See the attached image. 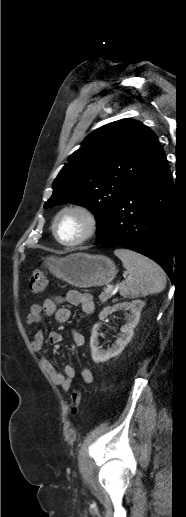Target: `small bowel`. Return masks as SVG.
Listing matches in <instances>:
<instances>
[{"label": "small bowel", "mask_w": 186, "mask_h": 517, "mask_svg": "<svg viewBox=\"0 0 186 517\" xmlns=\"http://www.w3.org/2000/svg\"><path fill=\"white\" fill-rule=\"evenodd\" d=\"M60 302H66L70 305L80 306L84 314L93 313L95 308L91 294L70 291L63 298L46 297L42 303L33 304L30 307V311L26 317V323L29 325L39 323L42 320L43 315H54L56 321L59 323H65L69 321L71 318V310L68 307L58 308L57 305ZM72 340L75 347H81L84 344V337L78 331L72 332ZM61 341L62 335L59 332L51 331L48 334L49 344L56 345ZM31 344L34 351L41 352L43 350L44 334L41 330L35 332ZM41 364L54 385L59 386L64 392H68L70 390L72 380L76 374L75 368L72 365H66L64 367V372H60L56 369L52 361L47 357L41 358ZM81 378L84 383L89 384L93 381V374L89 369L83 368L81 370Z\"/></svg>", "instance_id": "obj_1"}]
</instances>
